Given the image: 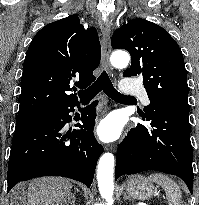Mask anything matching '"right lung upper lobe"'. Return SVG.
Listing matches in <instances>:
<instances>
[{
  "mask_svg": "<svg viewBox=\"0 0 199 205\" xmlns=\"http://www.w3.org/2000/svg\"><path fill=\"white\" fill-rule=\"evenodd\" d=\"M101 46L94 27L84 29L74 14L44 26L32 39L23 64L19 112L16 118L53 112L77 101L71 85L80 89L94 80ZM74 88V87H73Z\"/></svg>",
  "mask_w": 199,
  "mask_h": 205,
  "instance_id": "obj_1",
  "label": "right lung upper lobe"
}]
</instances>
